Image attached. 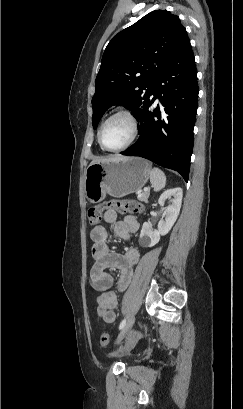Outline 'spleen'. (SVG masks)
<instances>
[{"label": "spleen", "instance_id": "spleen-1", "mask_svg": "<svg viewBox=\"0 0 243 409\" xmlns=\"http://www.w3.org/2000/svg\"><path fill=\"white\" fill-rule=\"evenodd\" d=\"M150 183L154 191H160L166 184L165 174L159 168H153L150 172Z\"/></svg>", "mask_w": 243, "mask_h": 409}]
</instances>
